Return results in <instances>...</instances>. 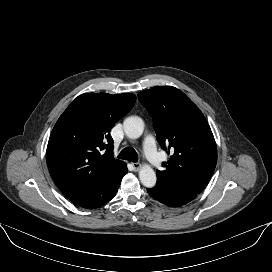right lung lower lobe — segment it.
<instances>
[{
	"label": "right lung lower lobe",
	"instance_id": "1",
	"mask_svg": "<svg viewBox=\"0 0 272 272\" xmlns=\"http://www.w3.org/2000/svg\"><path fill=\"white\" fill-rule=\"evenodd\" d=\"M127 173V166L123 162L115 168L107 178L91 191L67 197L72 203L86 209L99 208L108 203L117 193L123 176Z\"/></svg>",
	"mask_w": 272,
	"mask_h": 272
}]
</instances>
